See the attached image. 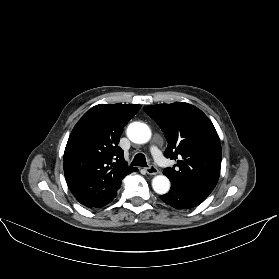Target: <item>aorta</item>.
Masks as SVG:
<instances>
[{
  "mask_svg": "<svg viewBox=\"0 0 279 279\" xmlns=\"http://www.w3.org/2000/svg\"><path fill=\"white\" fill-rule=\"evenodd\" d=\"M128 138L137 144L147 143L151 139V130L149 126L142 122H132L127 127ZM153 190L160 194H166L170 189V181L164 175H157L152 180Z\"/></svg>",
  "mask_w": 279,
  "mask_h": 279,
  "instance_id": "1",
  "label": "aorta"
}]
</instances>
